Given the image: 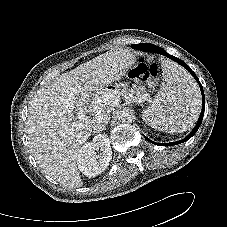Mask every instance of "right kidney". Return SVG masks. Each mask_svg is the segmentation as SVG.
Wrapping results in <instances>:
<instances>
[{
  "label": "right kidney",
  "instance_id": "right-kidney-1",
  "mask_svg": "<svg viewBox=\"0 0 227 227\" xmlns=\"http://www.w3.org/2000/svg\"><path fill=\"white\" fill-rule=\"evenodd\" d=\"M100 150V154L96 151ZM112 159V150L106 134H98L92 142L85 143L77 159L79 170L87 177L101 174Z\"/></svg>",
  "mask_w": 227,
  "mask_h": 227
}]
</instances>
